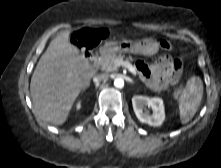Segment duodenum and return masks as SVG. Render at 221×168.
Here are the masks:
<instances>
[{
  "mask_svg": "<svg viewBox=\"0 0 221 168\" xmlns=\"http://www.w3.org/2000/svg\"><path fill=\"white\" fill-rule=\"evenodd\" d=\"M87 60L91 66H97L99 63V53H88L86 54Z\"/></svg>",
  "mask_w": 221,
  "mask_h": 168,
  "instance_id": "duodenum-1",
  "label": "duodenum"
}]
</instances>
